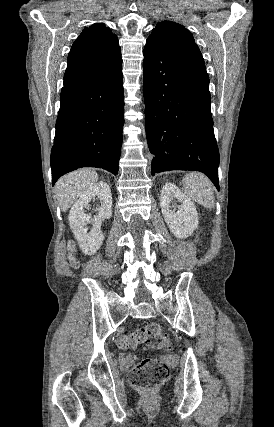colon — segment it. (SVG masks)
Masks as SVG:
<instances>
[{"label":"colon","mask_w":274,"mask_h":427,"mask_svg":"<svg viewBox=\"0 0 274 427\" xmlns=\"http://www.w3.org/2000/svg\"><path fill=\"white\" fill-rule=\"evenodd\" d=\"M69 263L76 267L78 260L74 255L73 242L68 243ZM119 348L126 350L135 348L138 345H154L158 348L167 349L172 346V340L161 327L149 322L137 330L119 335L117 338ZM169 377V367L155 358H143L129 371V378L132 386L141 391L142 395H156L157 388H160Z\"/></svg>","instance_id":"5ec220e1"}]
</instances>
